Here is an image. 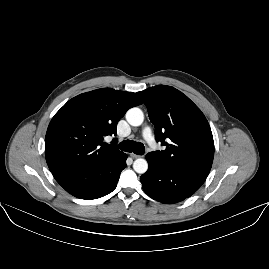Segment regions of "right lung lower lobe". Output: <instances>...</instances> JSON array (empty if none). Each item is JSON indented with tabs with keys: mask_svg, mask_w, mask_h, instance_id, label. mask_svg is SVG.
<instances>
[{
	"mask_svg": "<svg viewBox=\"0 0 269 269\" xmlns=\"http://www.w3.org/2000/svg\"><path fill=\"white\" fill-rule=\"evenodd\" d=\"M123 152L104 158L95 164L61 167L52 171L56 181L70 194L81 199H97L112 192L121 171L126 167Z\"/></svg>",
	"mask_w": 269,
	"mask_h": 269,
	"instance_id": "obj_1",
	"label": "right lung lower lobe"
}]
</instances>
